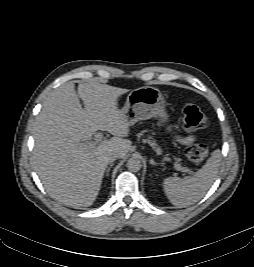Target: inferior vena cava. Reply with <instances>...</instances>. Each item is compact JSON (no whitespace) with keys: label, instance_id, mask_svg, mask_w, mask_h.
<instances>
[{"label":"inferior vena cava","instance_id":"obj_1","mask_svg":"<svg viewBox=\"0 0 254 267\" xmlns=\"http://www.w3.org/2000/svg\"><path fill=\"white\" fill-rule=\"evenodd\" d=\"M120 158V155L118 153H112L109 157V161L110 162H113L115 161L116 159Z\"/></svg>","mask_w":254,"mask_h":267}]
</instances>
